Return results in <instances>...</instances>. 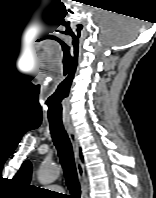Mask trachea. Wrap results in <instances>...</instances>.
Masks as SVG:
<instances>
[{"label": "trachea", "mask_w": 156, "mask_h": 198, "mask_svg": "<svg viewBox=\"0 0 156 198\" xmlns=\"http://www.w3.org/2000/svg\"><path fill=\"white\" fill-rule=\"evenodd\" d=\"M50 132L63 167L67 187L72 194V196L67 198H80L81 191L74 163L72 145L62 122L50 121Z\"/></svg>", "instance_id": "1"}]
</instances>
